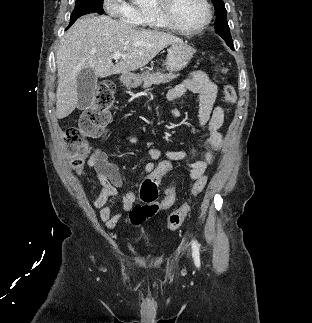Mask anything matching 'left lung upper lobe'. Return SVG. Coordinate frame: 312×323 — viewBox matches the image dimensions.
I'll list each match as a JSON object with an SVG mask.
<instances>
[{"mask_svg": "<svg viewBox=\"0 0 312 323\" xmlns=\"http://www.w3.org/2000/svg\"><path fill=\"white\" fill-rule=\"evenodd\" d=\"M214 4L215 11L217 14L216 21L214 23V28L216 33H218L227 44L233 49V41L230 34V28L227 22V12L223 0H211Z\"/></svg>", "mask_w": 312, "mask_h": 323, "instance_id": "5c2ea615", "label": "left lung upper lobe"}]
</instances>
